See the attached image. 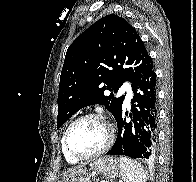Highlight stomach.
<instances>
[{
    "mask_svg": "<svg viewBox=\"0 0 196 182\" xmlns=\"http://www.w3.org/2000/svg\"><path fill=\"white\" fill-rule=\"evenodd\" d=\"M90 169L93 173L113 178L118 175L119 165L113 157H101L91 163ZM58 182H91V177L85 168H80L64 174Z\"/></svg>",
    "mask_w": 196,
    "mask_h": 182,
    "instance_id": "obj_1",
    "label": "stomach"
}]
</instances>
